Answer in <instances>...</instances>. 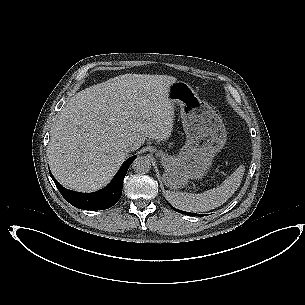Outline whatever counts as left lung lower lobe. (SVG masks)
Here are the masks:
<instances>
[{"mask_svg": "<svg viewBox=\"0 0 305 305\" xmlns=\"http://www.w3.org/2000/svg\"><path fill=\"white\" fill-rule=\"evenodd\" d=\"M173 208V207H172ZM175 211L182 213V214H186V215H194V216H202V214H196V213H190V212H185V211H181V210H177L175 208H173Z\"/></svg>", "mask_w": 305, "mask_h": 305, "instance_id": "0a47b994", "label": "left lung lower lobe"}]
</instances>
